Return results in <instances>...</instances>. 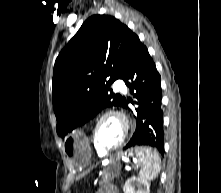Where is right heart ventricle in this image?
I'll return each instance as SVG.
<instances>
[{
	"instance_id": "obj_1",
	"label": "right heart ventricle",
	"mask_w": 221,
	"mask_h": 193,
	"mask_svg": "<svg viewBox=\"0 0 221 193\" xmlns=\"http://www.w3.org/2000/svg\"><path fill=\"white\" fill-rule=\"evenodd\" d=\"M96 153L98 154V155H103V152L102 151H100L99 149H97L96 148Z\"/></svg>"
}]
</instances>
